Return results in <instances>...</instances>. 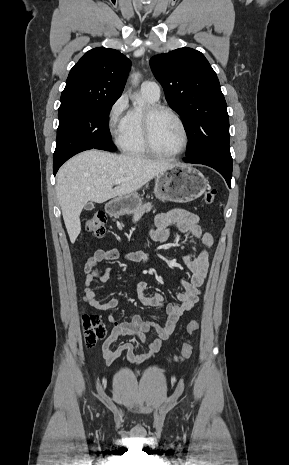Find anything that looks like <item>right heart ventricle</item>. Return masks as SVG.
Masks as SVG:
<instances>
[{
    "mask_svg": "<svg viewBox=\"0 0 289 465\" xmlns=\"http://www.w3.org/2000/svg\"><path fill=\"white\" fill-rule=\"evenodd\" d=\"M148 103L154 104L156 101L142 92ZM143 114L144 110L134 107L128 111L126 129L119 140L122 151L128 155L142 157L150 155L143 139Z\"/></svg>",
    "mask_w": 289,
    "mask_h": 465,
    "instance_id": "obj_1",
    "label": "right heart ventricle"
}]
</instances>
